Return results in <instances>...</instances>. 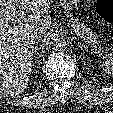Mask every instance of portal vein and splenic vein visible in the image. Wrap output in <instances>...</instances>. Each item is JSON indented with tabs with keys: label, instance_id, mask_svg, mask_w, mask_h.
<instances>
[{
	"label": "portal vein and splenic vein",
	"instance_id": "obj_1",
	"mask_svg": "<svg viewBox=\"0 0 113 113\" xmlns=\"http://www.w3.org/2000/svg\"><path fill=\"white\" fill-rule=\"evenodd\" d=\"M18 13H19V19L21 20L22 18H24L25 16V12L21 9L18 10ZM77 34H78V31L77 30H74ZM79 35V34H78ZM80 36V35H79ZM93 47H96V45H92ZM100 51H102V49L99 47L98 48Z\"/></svg>",
	"mask_w": 113,
	"mask_h": 113
}]
</instances>
